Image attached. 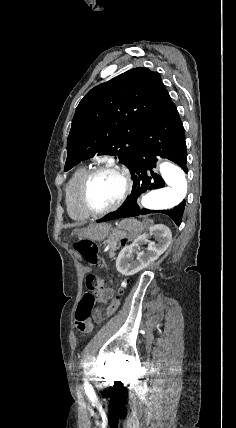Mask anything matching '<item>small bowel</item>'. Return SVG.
<instances>
[{"label": "small bowel", "instance_id": "1", "mask_svg": "<svg viewBox=\"0 0 236 428\" xmlns=\"http://www.w3.org/2000/svg\"><path fill=\"white\" fill-rule=\"evenodd\" d=\"M113 296V291L111 289H105L100 293V299L102 302H106L110 300ZM91 328V324H87L85 330H89Z\"/></svg>", "mask_w": 236, "mask_h": 428}]
</instances>
